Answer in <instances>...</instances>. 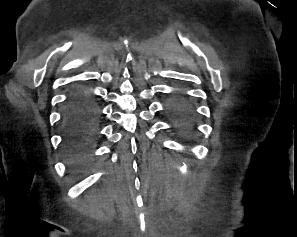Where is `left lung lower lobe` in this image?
Instances as JSON below:
<instances>
[{
  "label": "left lung lower lobe",
  "instance_id": "0a47b994",
  "mask_svg": "<svg viewBox=\"0 0 297 237\" xmlns=\"http://www.w3.org/2000/svg\"><path fill=\"white\" fill-rule=\"evenodd\" d=\"M171 111L177 118V127L178 129L189 133L193 127L194 113L193 108L188 102H178L173 107Z\"/></svg>",
  "mask_w": 297,
  "mask_h": 237
}]
</instances>
